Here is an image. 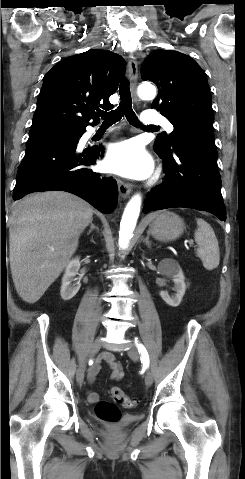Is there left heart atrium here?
<instances>
[{"mask_svg":"<svg viewBox=\"0 0 245 479\" xmlns=\"http://www.w3.org/2000/svg\"><path fill=\"white\" fill-rule=\"evenodd\" d=\"M106 171L133 179H143L150 175L153 163L136 140H125L109 147L103 162Z\"/></svg>","mask_w":245,"mask_h":479,"instance_id":"39dd6f15","label":"left heart atrium"}]
</instances>
